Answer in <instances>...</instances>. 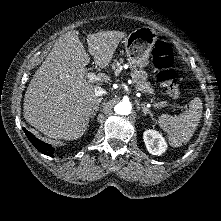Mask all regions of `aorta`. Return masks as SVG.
<instances>
[{"label":"aorta","mask_w":221,"mask_h":221,"mask_svg":"<svg viewBox=\"0 0 221 221\" xmlns=\"http://www.w3.org/2000/svg\"><path fill=\"white\" fill-rule=\"evenodd\" d=\"M132 105L129 101H121L115 105L114 111L119 115H129L131 113Z\"/></svg>","instance_id":"aorta-1"}]
</instances>
